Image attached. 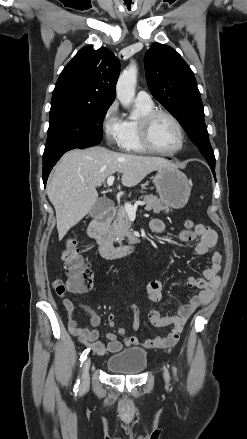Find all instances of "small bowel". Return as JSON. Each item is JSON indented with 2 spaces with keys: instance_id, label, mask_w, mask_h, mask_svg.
Segmentation results:
<instances>
[{
  "instance_id": "small-bowel-1",
  "label": "small bowel",
  "mask_w": 247,
  "mask_h": 439,
  "mask_svg": "<svg viewBox=\"0 0 247 439\" xmlns=\"http://www.w3.org/2000/svg\"><path fill=\"white\" fill-rule=\"evenodd\" d=\"M150 228L155 233H163L166 231L165 223L160 219H153L150 222ZM178 239L184 244L196 242L195 252L198 255H207L218 244V236L216 232L205 224H198L194 230H182L178 234ZM222 266V257L220 253L213 252L211 255V264L204 270L203 278L190 277L187 284L190 288H197L199 292L192 296L188 303L182 305L177 314L164 315L159 310H152L150 313V321L156 327L172 326V331L167 336H157L140 342L135 336L127 335L126 329L119 327L117 332L123 337L119 341L114 333L106 332L104 335L108 340L107 343L99 340L100 331L97 327L101 323L100 315L90 306L82 302L75 303L66 294L70 289V280L62 281L56 280L53 283L56 294L61 298L62 304L65 308L68 327L70 332L75 335L79 341L91 348L96 355L102 356L106 353H117L123 347L142 346L145 348H169L174 346L183 332L184 326L190 316L200 307L208 304L219 286L220 278L219 271ZM148 297L152 302L158 303L162 300V284L159 280L153 279L147 285ZM78 306L90 317L91 328H84L80 326L76 320L75 308ZM126 310L133 314L134 331H137L140 326L139 311L133 305L126 306ZM109 327H115V314L110 313L107 317Z\"/></svg>"
}]
</instances>
